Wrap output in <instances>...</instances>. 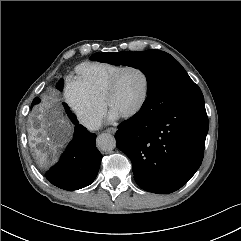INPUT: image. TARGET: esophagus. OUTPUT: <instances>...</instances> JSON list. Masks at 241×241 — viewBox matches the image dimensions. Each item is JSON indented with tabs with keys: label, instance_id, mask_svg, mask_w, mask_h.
Segmentation results:
<instances>
[{
	"label": "esophagus",
	"instance_id": "obj_1",
	"mask_svg": "<svg viewBox=\"0 0 241 241\" xmlns=\"http://www.w3.org/2000/svg\"><path fill=\"white\" fill-rule=\"evenodd\" d=\"M105 132L114 134L116 132V128H113V127L112 128H108V129L105 130Z\"/></svg>",
	"mask_w": 241,
	"mask_h": 241
}]
</instances>
